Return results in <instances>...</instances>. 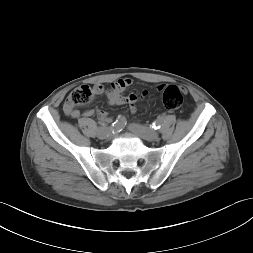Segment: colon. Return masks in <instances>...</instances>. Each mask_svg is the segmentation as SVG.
Segmentation results:
<instances>
[{
    "mask_svg": "<svg viewBox=\"0 0 253 253\" xmlns=\"http://www.w3.org/2000/svg\"><path fill=\"white\" fill-rule=\"evenodd\" d=\"M161 91V101L167 110L175 111L182 106L183 94L177 86H162ZM93 96V90L90 87L81 86L69 94L66 105L70 108L85 106L92 102Z\"/></svg>",
    "mask_w": 253,
    "mask_h": 253,
    "instance_id": "colon-1",
    "label": "colon"
}]
</instances>
